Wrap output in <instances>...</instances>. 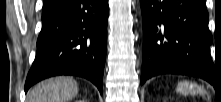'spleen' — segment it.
Instances as JSON below:
<instances>
[{"label": "spleen", "mask_w": 221, "mask_h": 102, "mask_svg": "<svg viewBox=\"0 0 221 102\" xmlns=\"http://www.w3.org/2000/svg\"><path fill=\"white\" fill-rule=\"evenodd\" d=\"M177 92L186 96V95H204L205 91L203 88L195 83L189 81H182L178 83Z\"/></svg>", "instance_id": "3e777b00"}]
</instances>
